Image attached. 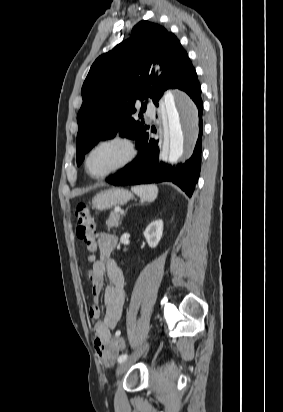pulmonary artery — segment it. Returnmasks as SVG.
<instances>
[{"instance_id": "pulmonary-artery-1", "label": "pulmonary artery", "mask_w": 283, "mask_h": 412, "mask_svg": "<svg viewBox=\"0 0 283 412\" xmlns=\"http://www.w3.org/2000/svg\"><path fill=\"white\" fill-rule=\"evenodd\" d=\"M148 115L153 118L154 117V110L148 109Z\"/></svg>"}]
</instances>
